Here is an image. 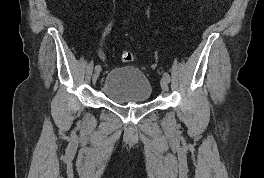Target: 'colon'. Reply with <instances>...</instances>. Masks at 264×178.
<instances>
[{
	"label": "colon",
	"mask_w": 264,
	"mask_h": 178,
	"mask_svg": "<svg viewBox=\"0 0 264 178\" xmlns=\"http://www.w3.org/2000/svg\"><path fill=\"white\" fill-rule=\"evenodd\" d=\"M120 59L123 63H130L134 60V55L130 51H124L121 54Z\"/></svg>",
	"instance_id": "colon-1"
}]
</instances>
